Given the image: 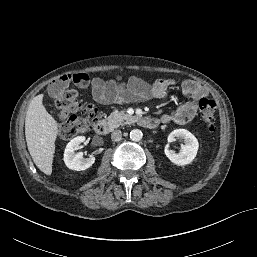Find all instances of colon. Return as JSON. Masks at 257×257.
Instances as JSON below:
<instances>
[{"label": "colon", "mask_w": 257, "mask_h": 257, "mask_svg": "<svg viewBox=\"0 0 257 257\" xmlns=\"http://www.w3.org/2000/svg\"><path fill=\"white\" fill-rule=\"evenodd\" d=\"M89 80L86 73L66 74L57 77L50 86L49 92L56 98L59 114L65 118L58 128V135L64 140L72 139L89 131L100 119L98 110L92 105L82 106L78 102V92L69 87L70 84L86 87ZM198 104L202 121L207 129L213 132L215 130V101L208 97H202ZM78 111H81L82 116L75 115Z\"/></svg>", "instance_id": "5ec220e1"}]
</instances>
